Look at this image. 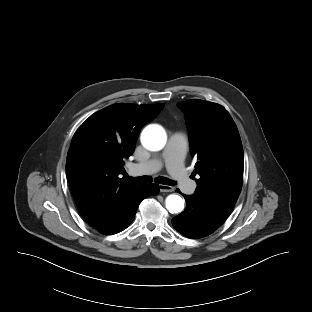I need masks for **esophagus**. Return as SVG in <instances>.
<instances>
[{
    "instance_id": "obj_1",
    "label": "esophagus",
    "mask_w": 312,
    "mask_h": 312,
    "mask_svg": "<svg viewBox=\"0 0 312 312\" xmlns=\"http://www.w3.org/2000/svg\"><path fill=\"white\" fill-rule=\"evenodd\" d=\"M159 190H160V192H173L174 188L172 186L160 184Z\"/></svg>"
}]
</instances>
